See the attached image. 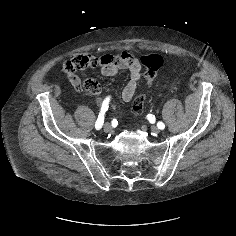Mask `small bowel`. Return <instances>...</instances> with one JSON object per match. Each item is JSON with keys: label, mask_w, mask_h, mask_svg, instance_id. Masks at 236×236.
<instances>
[{"label": "small bowel", "mask_w": 236, "mask_h": 236, "mask_svg": "<svg viewBox=\"0 0 236 236\" xmlns=\"http://www.w3.org/2000/svg\"><path fill=\"white\" fill-rule=\"evenodd\" d=\"M67 62L74 66L75 71L65 74L77 91L86 89L95 94L101 91V87L96 81L91 79L84 80L77 75L76 72L81 69L99 67L101 74L106 77L114 76L123 69L128 70L130 79L122 90L124 101H130L134 97L141 79L140 61L126 51L115 54H103L99 57L91 54L77 53Z\"/></svg>", "instance_id": "small-bowel-1"}]
</instances>
